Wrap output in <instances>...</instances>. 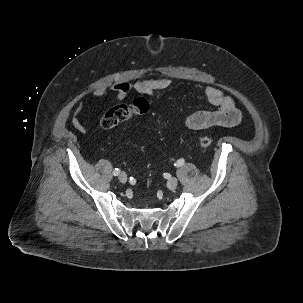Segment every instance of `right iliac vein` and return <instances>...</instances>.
I'll return each instance as SVG.
<instances>
[{
    "mask_svg": "<svg viewBox=\"0 0 303 303\" xmlns=\"http://www.w3.org/2000/svg\"><path fill=\"white\" fill-rule=\"evenodd\" d=\"M119 181L121 183H126L127 182V175H126V173H124V172L120 173V175H119Z\"/></svg>",
    "mask_w": 303,
    "mask_h": 303,
    "instance_id": "63e3f726",
    "label": "right iliac vein"
}]
</instances>
